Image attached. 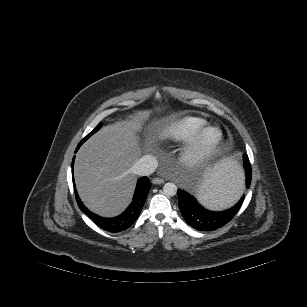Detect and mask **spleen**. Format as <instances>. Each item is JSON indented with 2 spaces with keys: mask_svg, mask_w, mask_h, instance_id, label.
I'll return each mask as SVG.
<instances>
[{
  "mask_svg": "<svg viewBox=\"0 0 307 307\" xmlns=\"http://www.w3.org/2000/svg\"><path fill=\"white\" fill-rule=\"evenodd\" d=\"M246 192V171L233 158L218 160L203 181L200 200L212 208H223L240 200Z\"/></svg>",
  "mask_w": 307,
  "mask_h": 307,
  "instance_id": "spleen-1",
  "label": "spleen"
}]
</instances>
